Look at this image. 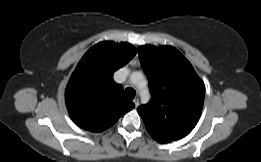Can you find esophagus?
<instances>
[{
	"instance_id": "obj_1",
	"label": "esophagus",
	"mask_w": 261,
	"mask_h": 162,
	"mask_svg": "<svg viewBox=\"0 0 261 162\" xmlns=\"http://www.w3.org/2000/svg\"><path fill=\"white\" fill-rule=\"evenodd\" d=\"M133 103L135 104V108H137L139 106V99L138 98H135L133 100Z\"/></svg>"
}]
</instances>
